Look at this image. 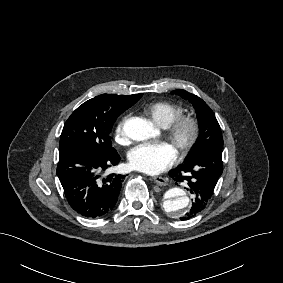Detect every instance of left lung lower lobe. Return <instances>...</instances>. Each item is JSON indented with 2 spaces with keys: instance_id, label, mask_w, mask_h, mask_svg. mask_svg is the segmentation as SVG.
<instances>
[{
  "instance_id": "obj_1",
  "label": "left lung lower lobe",
  "mask_w": 283,
  "mask_h": 283,
  "mask_svg": "<svg viewBox=\"0 0 283 283\" xmlns=\"http://www.w3.org/2000/svg\"><path fill=\"white\" fill-rule=\"evenodd\" d=\"M222 172V148L206 150L169 172L174 180L187 181L193 194L192 207L181 220L196 216L206 207Z\"/></svg>"
}]
</instances>
